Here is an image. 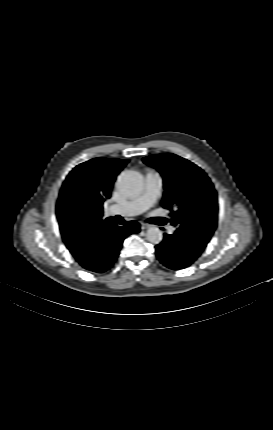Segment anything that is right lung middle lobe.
Instances as JSON below:
<instances>
[{"mask_svg":"<svg viewBox=\"0 0 273 430\" xmlns=\"http://www.w3.org/2000/svg\"><path fill=\"white\" fill-rule=\"evenodd\" d=\"M89 217V210L81 200L73 201L66 210L65 220L73 227H80Z\"/></svg>","mask_w":273,"mask_h":430,"instance_id":"right-lung-middle-lobe-1","label":"right lung middle lobe"}]
</instances>
